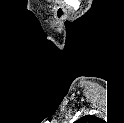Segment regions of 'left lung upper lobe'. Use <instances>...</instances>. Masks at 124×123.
Wrapping results in <instances>:
<instances>
[{
  "mask_svg": "<svg viewBox=\"0 0 124 123\" xmlns=\"http://www.w3.org/2000/svg\"><path fill=\"white\" fill-rule=\"evenodd\" d=\"M93 118H94L93 116L87 115V116H84V117L80 118L77 122L78 123H86L87 120H90V119H93Z\"/></svg>",
  "mask_w": 124,
  "mask_h": 123,
  "instance_id": "1",
  "label": "left lung upper lobe"
}]
</instances>
